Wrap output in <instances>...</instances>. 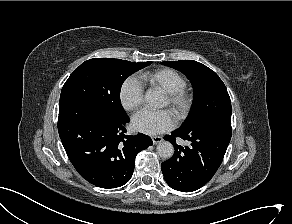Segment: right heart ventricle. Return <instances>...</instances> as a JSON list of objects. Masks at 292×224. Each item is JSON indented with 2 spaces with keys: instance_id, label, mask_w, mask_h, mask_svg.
Segmentation results:
<instances>
[{
  "instance_id": "obj_1",
  "label": "right heart ventricle",
  "mask_w": 292,
  "mask_h": 224,
  "mask_svg": "<svg viewBox=\"0 0 292 224\" xmlns=\"http://www.w3.org/2000/svg\"><path fill=\"white\" fill-rule=\"evenodd\" d=\"M146 83L159 88L165 93H173L185 90L186 80L173 69L162 68L141 75Z\"/></svg>"
}]
</instances>
